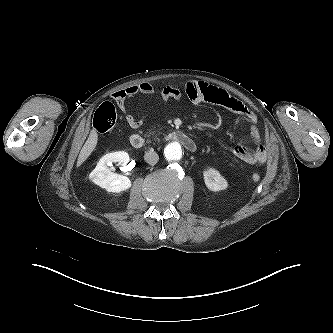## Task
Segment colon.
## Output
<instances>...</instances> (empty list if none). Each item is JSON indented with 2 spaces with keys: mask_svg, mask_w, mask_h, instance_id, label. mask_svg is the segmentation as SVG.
<instances>
[{
  "mask_svg": "<svg viewBox=\"0 0 333 333\" xmlns=\"http://www.w3.org/2000/svg\"><path fill=\"white\" fill-rule=\"evenodd\" d=\"M116 124V110L112 103L104 102L102 103L94 113L93 126L94 128L105 133L112 130ZM261 179L260 174H252V180L258 182Z\"/></svg>",
  "mask_w": 333,
  "mask_h": 333,
  "instance_id": "5ec220e1",
  "label": "colon"
}]
</instances>
